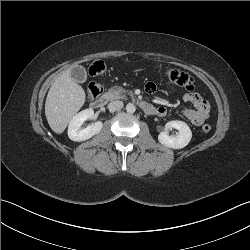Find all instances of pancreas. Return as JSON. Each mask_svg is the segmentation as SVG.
Returning <instances> with one entry per match:
<instances>
[{"label": "pancreas", "instance_id": "obj_1", "mask_svg": "<svg viewBox=\"0 0 250 250\" xmlns=\"http://www.w3.org/2000/svg\"><path fill=\"white\" fill-rule=\"evenodd\" d=\"M108 95L112 100L113 99H126V95H132V92L120 86H114L108 90Z\"/></svg>", "mask_w": 250, "mask_h": 250}]
</instances>
